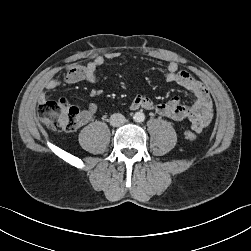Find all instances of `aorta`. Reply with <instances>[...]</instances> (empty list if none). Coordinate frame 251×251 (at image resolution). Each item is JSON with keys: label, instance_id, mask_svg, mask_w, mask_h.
Masks as SVG:
<instances>
[{"label": "aorta", "instance_id": "762f6f07", "mask_svg": "<svg viewBox=\"0 0 251 251\" xmlns=\"http://www.w3.org/2000/svg\"><path fill=\"white\" fill-rule=\"evenodd\" d=\"M133 119L135 122H143L145 120V115L142 112H136Z\"/></svg>", "mask_w": 251, "mask_h": 251}]
</instances>
